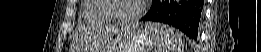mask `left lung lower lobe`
I'll return each mask as SVG.
<instances>
[{
	"instance_id": "1",
	"label": "left lung lower lobe",
	"mask_w": 261,
	"mask_h": 52,
	"mask_svg": "<svg viewBox=\"0 0 261 52\" xmlns=\"http://www.w3.org/2000/svg\"><path fill=\"white\" fill-rule=\"evenodd\" d=\"M204 0H154L142 21H157L178 28L189 38H198Z\"/></svg>"
}]
</instances>
